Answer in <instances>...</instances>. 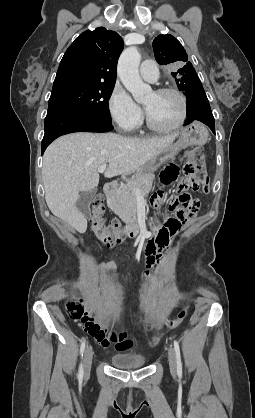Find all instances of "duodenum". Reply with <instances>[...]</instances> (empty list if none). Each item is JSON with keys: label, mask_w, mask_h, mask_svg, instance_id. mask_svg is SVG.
<instances>
[{"label": "duodenum", "mask_w": 255, "mask_h": 418, "mask_svg": "<svg viewBox=\"0 0 255 418\" xmlns=\"http://www.w3.org/2000/svg\"><path fill=\"white\" fill-rule=\"evenodd\" d=\"M118 186H119L118 182L107 183L104 186V193L106 197L108 198L113 197L117 192ZM121 231L124 236L129 237V238H134L141 234L142 226L137 219L132 218V219H128L124 223Z\"/></svg>", "instance_id": "duodenum-1"}]
</instances>
